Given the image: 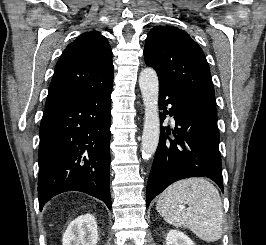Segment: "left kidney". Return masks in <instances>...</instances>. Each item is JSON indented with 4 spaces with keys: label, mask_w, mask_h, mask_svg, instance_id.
Instances as JSON below:
<instances>
[{
    "label": "left kidney",
    "mask_w": 266,
    "mask_h": 245,
    "mask_svg": "<svg viewBox=\"0 0 266 245\" xmlns=\"http://www.w3.org/2000/svg\"><path fill=\"white\" fill-rule=\"evenodd\" d=\"M166 245H195V243L181 231H169L166 237Z\"/></svg>",
    "instance_id": "obj_1"
}]
</instances>
